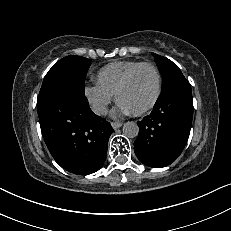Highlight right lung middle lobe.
<instances>
[{
    "instance_id": "dd1d6c3e",
    "label": "right lung middle lobe",
    "mask_w": 231,
    "mask_h": 231,
    "mask_svg": "<svg viewBox=\"0 0 231 231\" xmlns=\"http://www.w3.org/2000/svg\"><path fill=\"white\" fill-rule=\"evenodd\" d=\"M90 60L81 56H67L55 63L46 74L38 101L55 90L71 88L85 93V76Z\"/></svg>"
}]
</instances>
